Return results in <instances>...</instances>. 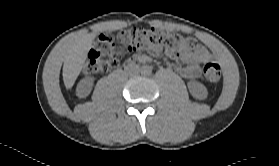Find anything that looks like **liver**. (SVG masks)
Segmentation results:
<instances>
[{
  "label": "liver",
  "mask_w": 279,
  "mask_h": 166,
  "mask_svg": "<svg viewBox=\"0 0 279 166\" xmlns=\"http://www.w3.org/2000/svg\"><path fill=\"white\" fill-rule=\"evenodd\" d=\"M95 37V33H89L78 37L67 50L63 64V81L67 89L72 88L82 71L87 59V53Z\"/></svg>",
  "instance_id": "6515ba94"
}]
</instances>
